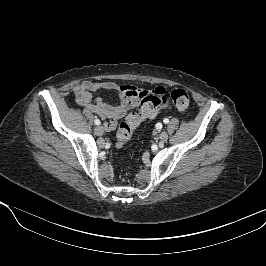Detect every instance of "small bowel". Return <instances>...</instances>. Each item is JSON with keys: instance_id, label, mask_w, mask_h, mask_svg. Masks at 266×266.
Masks as SVG:
<instances>
[{"instance_id": "c3829d8e", "label": "small bowel", "mask_w": 266, "mask_h": 266, "mask_svg": "<svg viewBox=\"0 0 266 266\" xmlns=\"http://www.w3.org/2000/svg\"><path fill=\"white\" fill-rule=\"evenodd\" d=\"M100 89L117 91L118 103L110 105L104 103L100 98H94L93 92ZM165 92L164 88L157 87L147 90L133 85H118L112 81H83L74 87L75 101L80 106L106 119L105 128L113 131L117 121L123 118L128 111L140 105L141 99L146 93Z\"/></svg>"}]
</instances>
